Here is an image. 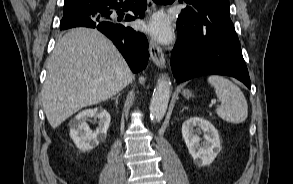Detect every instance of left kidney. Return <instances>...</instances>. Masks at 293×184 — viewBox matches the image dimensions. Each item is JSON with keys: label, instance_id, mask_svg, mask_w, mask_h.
Here are the masks:
<instances>
[{"label": "left kidney", "instance_id": "obj_1", "mask_svg": "<svg viewBox=\"0 0 293 184\" xmlns=\"http://www.w3.org/2000/svg\"><path fill=\"white\" fill-rule=\"evenodd\" d=\"M204 133V141L199 135ZM182 136L196 165H210L221 150L217 129L206 119L191 117L182 124Z\"/></svg>", "mask_w": 293, "mask_h": 184}]
</instances>
